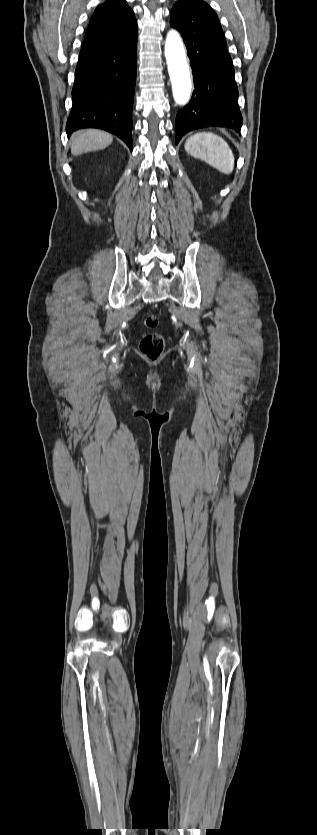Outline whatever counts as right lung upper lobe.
Masks as SVG:
<instances>
[{
    "instance_id": "cb5924a9",
    "label": "right lung upper lobe",
    "mask_w": 317,
    "mask_h": 835,
    "mask_svg": "<svg viewBox=\"0 0 317 835\" xmlns=\"http://www.w3.org/2000/svg\"><path fill=\"white\" fill-rule=\"evenodd\" d=\"M137 34V22L125 0H107L92 15L85 42L96 41L104 45L125 42Z\"/></svg>"
}]
</instances>
